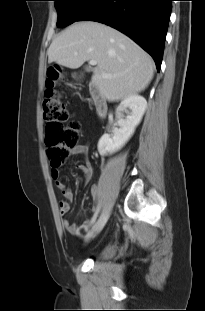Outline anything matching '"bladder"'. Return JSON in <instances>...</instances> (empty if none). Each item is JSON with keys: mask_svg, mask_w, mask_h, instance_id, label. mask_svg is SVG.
<instances>
[{"mask_svg": "<svg viewBox=\"0 0 205 311\" xmlns=\"http://www.w3.org/2000/svg\"><path fill=\"white\" fill-rule=\"evenodd\" d=\"M118 247L115 245L105 246L98 254L97 259L109 260L112 259L117 253Z\"/></svg>", "mask_w": 205, "mask_h": 311, "instance_id": "bladder-1", "label": "bladder"}]
</instances>
